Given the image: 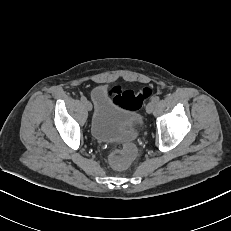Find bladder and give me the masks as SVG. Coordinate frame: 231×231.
<instances>
[{"instance_id": "1", "label": "bladder", "mask_w": 231, "mask_h": 231, "mask_svg": "<svg viewBox=\"0 0 231 231\" xmlns=\"http://www.w3.org/2000/svg\"><path fill=\"white\" fill-rule=\"evenodd\" d=\"M94 111L90 124L91 135L102 142H118L136 135L143 118L134 110L115 102L106 86L92 92Z\"/></svg>"}]
</instances>
